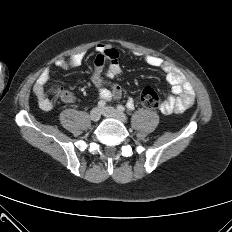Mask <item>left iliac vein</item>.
Wrapping results in <instances>:
<instances>
[{"label":"left iliac vein","instance_id":"obj_1","mask_svg":"<svg viewBox=\"0 0 232 232\" xmlns=\"http://www.w3.org/2000/svg\"><path fill=\"white\" fill-rule=\"evenodd\" d=\"M102 114L109 118H115L119 121L125 123L127 121V117L124 113L114 109L113 107L107 106L102 109Z\"/></svg>","mask_w":232,"mask_h":232}]
</instances>
